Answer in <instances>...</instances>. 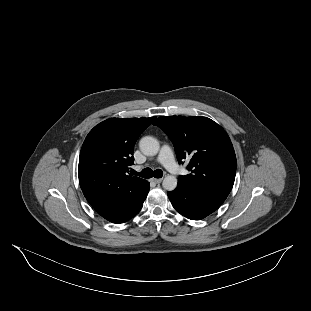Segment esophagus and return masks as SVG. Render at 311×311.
Returning <instances> with one entry per match:
<instances>
[{
	"label": "esophagus",
	"instance_id": "esophagus-1",
	"mask_svg": "<svg viewBox=\"0 0 311 311\" xmlns=\"http://www.w3.org/2000/svg\"><path fill=\"white\" fill-rule=\"evenodd\" d=\"M162 180H163V178H159V179L153 178V179H152V181L155 182L156 184L161 183Z\"/></svg>",
	"mask_w": 311,
	"mask_h": 311
}]
</instances>
